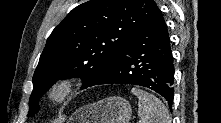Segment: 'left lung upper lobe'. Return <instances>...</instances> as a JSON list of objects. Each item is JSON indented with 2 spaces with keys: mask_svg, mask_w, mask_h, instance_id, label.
<instances>
[{
  "mask_svg": "<svg viewBox=\"0 0 221 123\" xmlns=\"http://www.w3.org/2000/svg\"><path fill=\"white\" fill-rule=\"evenodd\" d=\"M153 0H90L74 8L48 37L33 76L28 116L59 79L80 77L82 88L112 64L157 12Z\"/></svg>",
  "mask_w": 221,
  "mask_h": 123,
  "instance_id": "5c2ea615",
  "label": "left lung upper lobe"
}]
</instances>
